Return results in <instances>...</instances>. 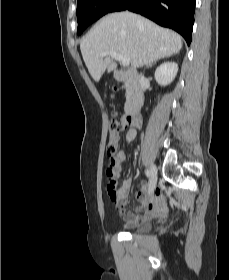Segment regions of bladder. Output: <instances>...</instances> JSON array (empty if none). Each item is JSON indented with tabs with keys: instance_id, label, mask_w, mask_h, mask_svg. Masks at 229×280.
<instances>
[{
	"instance_id": "1",
	"label": "bladder",
	"mask_w": 229,
	"mask_h": 280,
	"mask_svg": "<svg viewBox=\"0 0 229 280\" xmlns=\"http://www.w3.org/2000/svg\"><path fill=\"white\" fill-rule=\"evenodd\" d=\"M152 227V222L149 219L140 221L137 225L129 227L132 232L146 233Z\"/></svg>"
}]
</instances>
